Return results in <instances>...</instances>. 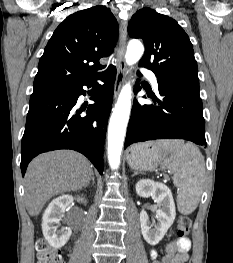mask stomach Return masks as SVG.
<instances>
[{
  "instance_id": "stomach-1",
  "label": "stomach",
  "mask_w": 233,
  "mask_h": 263,
  "mask_svg": "<svg viewBox=\"0 0 233 263\" xmlns=\"http://www.w3.org/2000/svg\"><path fill=\"white\" fill-rule=\"evenodd\" d=\"M168 150L158 142H145L133 145L127 155L131 168L140 171H152L166 159Z\"/></svg>"
}]
</instances>
